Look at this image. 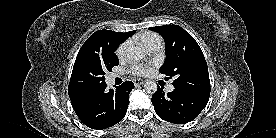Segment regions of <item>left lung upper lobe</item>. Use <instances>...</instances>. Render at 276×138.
Instances as JSON below:
<instances>
[{
	"instance_id": "5c2ea615",
	"label": "left lung upper lobe",
	"mask_w": 276,
	"mask_h": 138,
	"mask_svg": "<svg viewBox=\"0 0 276 138\" xmlns=\"http://www.w3.org/2000/svg\"><path fill=\"white\" fill-rule=\"evenodd\" d=\"M165 41L166 60L160 72L175 77V89L210 96V80L206 60L195 39L178 25L151 27Z\"/></svg>"
}]
</instances>
